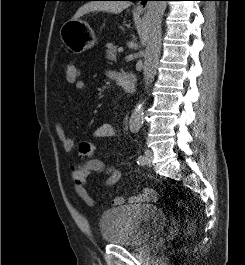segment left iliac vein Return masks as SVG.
I'll use <instances>...</instances> for the list:
<instances>
[{
	"label": "left iliac vein",
	"mask_w": 245,
	"mask_h": 265,
	"mask_svg": "<svg viewBox=\"0 0 245 265\" xmlns=\"http://www.w3.org/2000/svg\"><path fill=\"white\" fill-rule=\"evenodd\" d=\"M152 158H153V153L151 150L146 149L145 154H144V165L151 166L152 164Z\"/></svg>",
	"instance_id": "left-iliac-vein-1"
}]
</instances>
